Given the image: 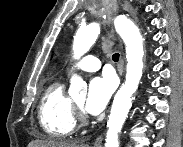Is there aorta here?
Listing matches in <instances>:
<instances>
[{"label": "aorta", "mask_w": 183, "mask_h": 147, "mask_svg": "<svg viewBox=\"0 0 183 147\" xmlns=\"http://www.w3.org/2000/svg\"><path fill=\"white\" fill-rule=\"evenodd\" d=\"M112 21L126 46L127 69L125 82L117 91L111 107L105 147H119V134L132 106V96L138 89L142 77L144 56L143 38L133 21L124 15L114 16ZM99 34V22L80 27L73 42L74 58L79 59L87 53ZM86 90L85 81L74 74L70 80L69 95L73 97L78 92L86 93Z\"/></svg>", "instance_id": "762f6f07"}]
</instances>
